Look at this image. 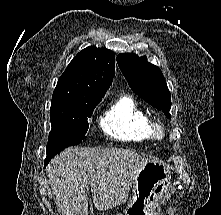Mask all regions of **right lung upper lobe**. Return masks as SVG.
Wrapping results in <instances>:
<instances>
[{
    "label": "right lung upper lobe",
    "mask_w": 221,
    "mask_h": 215,
    "mask_svg": "<svg viewBox=\"0 0 221 215\" xmlns=\"http://www.w3.org/2000/svg\"><path fill=\"white\" fill-rule=\"evenodd\" d=\"M114 74V53L89 46L73 58L59 78L51 105L102 100Z\"/></svg>",
    "instance_id": "cb5924a9"
}]
</instances>
